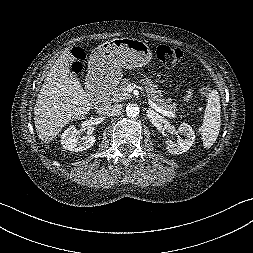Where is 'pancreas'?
I'll return each instance as SVG.
<instances>
[{"label": "pancreas", "instance_id": "pancreas-1", "mask_svg": "<svg viewBox=\"0 0 253 253\" xmlns=\"http://www.w3.org/2000/svg\"><path fill=\"white\" fill-rule=\"evenodd\" d=\"M128 83V79H123V81L114 88L112 92V100L114 102H121L131 98V94L126 90ZM142 84L145 88L147 97L151 98L158 107L173 113L176 111V104H172L169 99H164L161 90H159L158 86L153 84L150 79H143Z\"/></svg>", "mask_w": 253, "mask_h": 253}]
</instances>
